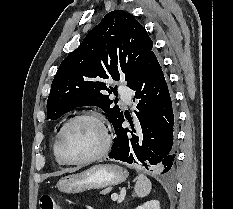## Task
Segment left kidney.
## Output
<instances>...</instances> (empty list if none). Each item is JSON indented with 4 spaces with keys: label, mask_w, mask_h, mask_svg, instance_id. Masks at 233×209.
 <instances>
[{
    "label": "left kidney",
    "mask_w": 233,
    "mask_h": 209,
    "mask_svg": "<svg viewBox=\"0 0 233 209\" xmlns=\"http://www.w3.org/2000/svg\"><path fill=\"white\" fill-rule=\"evenodd\" d=\"M136 209H160V203L158 200H150L138 206Z\"/></svg>",
    "instance_id": "1"
}]
</instances>
